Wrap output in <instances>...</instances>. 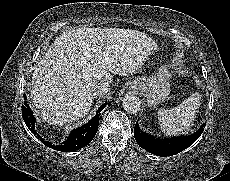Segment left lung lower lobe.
<instances>
[{"label": "left lung lower lobe", "instance_id": "1", "mask_svg": "<svg viewBox=\"0 0 230 181\" xmlns=\"http://www.w3.org/2000/svg\"><path fill=\"white\" fill-rule=\"evenodd\" d=\"M204 127L205 125H202L199 131L191 136L160 139L143 132L136 123L134 137L138 145L148 152L162 157L172 156L191 146L200 137Z\"/></svg>", "mask_w": 230, "mask_h": 181}]
</instances>
